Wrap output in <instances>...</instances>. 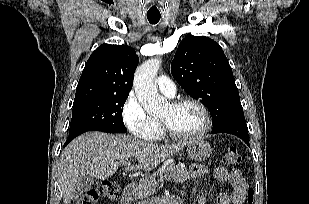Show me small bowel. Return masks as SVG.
Instances as JSON below:
<instances>
[{
	"mask_svg": "<svg viewBox=\"0 0 309 204\" xmlns=\"http://www.w3.org/2000/svg\"><path fill=\"white\" fill-rule=\"evenodd\" d=\"M204 171L203 167L193 168L194 174H202ZM214 178L219 182L229 181L233 186L232 193L219 194L217 204H245L249 185L239 169L219 166L214 170Z\"/></svg>",
	"mask_w": 309,
	"mask_h": 204,
	"instance_id": "small-bowel-1",
	"label": "small bowel"
}]
</instances>
